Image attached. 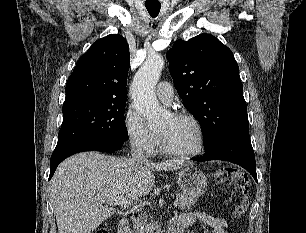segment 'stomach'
Masks as SVG:
<instances>
[{
    "label": "stomach",
    "mask_w": 306,
    "mask_h": 233,
    "mask_svg": "<svg viewBox=\"0 0 306 233\" xmlns=\"http://www.w3.org/2000/svg\"><path fill=\"white\" fill-rule=\"evenodd\" d=\"M178 185L184 195L198 198L207 189V179L203 172L193 166H186L177 174Z\"/></svg>",
    "instance_id": "stomach-1"
}]
</instances>
